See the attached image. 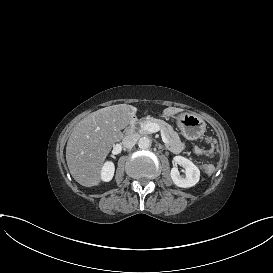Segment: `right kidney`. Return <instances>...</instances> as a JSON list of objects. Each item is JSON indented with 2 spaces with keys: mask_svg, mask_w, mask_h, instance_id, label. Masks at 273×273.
<instances>
[{
  "mask_svg": "<svg viewBox=\"0 0 273 273\" xmlns=\"http://www.w3.org/2000/svg\"><path fill=\"white\" fill-rule=\"evenodd\" d=\"M115 166L113 162L107 161L101 170V179L105 182L112 180L114 176Z\"/></svg>",
  "mask_w": 273,
  "mask_h": 273,
  "instance_id": "ca27d5eb",
  "label": "right kidney"
}]
</instances>
